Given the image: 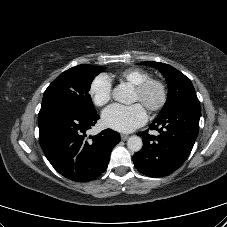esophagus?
Listing matches in <instances>:
<instances>
[{
	"mask_svg": "<svg viewBox=\"0 0 227 227\" xmlns=\"http://www.w3.org/2000/svg\"><path fill=\"white\" fill-rule=\"evenodd\" d=\"M129 138L127 134H121V140L126 141Z\"/></svg>",
	"mask_w": 227,
	"mask_h": 227,
	"instance_id": "esophagus-1",
	"label": "esophagus"
}]
</instances>
